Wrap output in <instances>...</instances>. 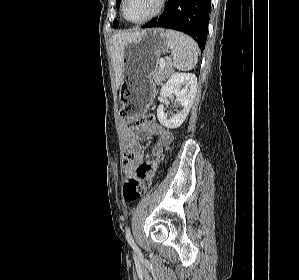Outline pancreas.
<instances>
[{
  "mask_svg": "<svg viewBox=\"0 0 299 280\" xmlns=\"http://www.w3.org/2000/svg\"><path fill=\"white\" fill-rule=\"evenodd\" d=\"M171 74V69L169 68V64H165V67L162 69L160 67V62L155 68L153 73V80L156 84H162V82Z\"/></svg>",
  "mask_w": 299,
  "mask_h": 280,
  "instance_id": "1",
  "label": "pancreas"
}]
</instances>
